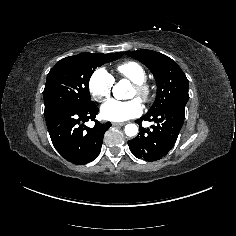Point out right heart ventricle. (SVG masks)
Returning <instances> with one entry per match:
<instances>
[{
  "mask_svg": "<svg viewBox=\"0 0 236 236\" xmlns=\"http://www.w3.org/2000/svg\"><path fill=\"white\" fill-rule=\"evenodd\" d=\"M117 73L123 81H141L146 77L143 66L136 61H125L116 67Z\"/></svg>",
  "mask_w": 236,
  "mask_h": 236,
  "instance_id": "e07e8e85",
  "label": "right heart ventricle"
}]
</instances>
